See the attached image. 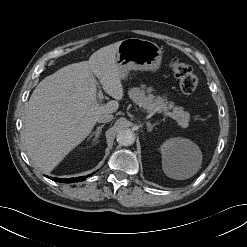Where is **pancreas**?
Segmentation results:
<instances>
[{
	"instance_id": "1",
	"label": "pancreas",
	"mask_w": 247,
	"mask_h": 247,
	"mask_svg": "<svg viewBox=\"0 0 247 247\" xmlns=\"http://www.w3.org/2000/svg\"><path fill=\"white\" fill-rule=\"evenodd\" d=\"M128 95L134 103L142 107L148 113L168 112V110L172 109L174 115L173 119H175L181 127L186 128L189 124V113L184 111L182 107H174V104L168 102L165 98L156 97L153 94H146L145 91L139 87L130 88Z\"/></svg>"
}]
</instances>
